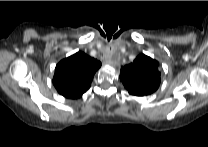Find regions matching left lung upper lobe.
I'll use <instances>...</instances> for the list:
<instances>
[{
	"mask_svg": "<svg viewBox=\"0 0 208 147\" xmlns=\"http://www.w3.org/2000/svg\"><path fill=\"white\" fill-rule=\"evenodd\" d=\"M159 63L141 54L129 65L121 68L120 80L130 94L148 95L156 91L160 85Z\"/></svg>",
	"mask_w": 208,
	"mask_h": 147,
	"instance_id": "5c2ea615",
	"label": "left lung upper lobe"
}]
</instances>
